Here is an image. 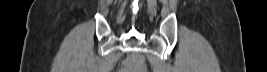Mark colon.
<instances>
[{
	"label": "colon",
	"mask_w": 267,
	"mask_h": 72,
	"mask_svg": "<svg viewBox=\"0 0 267 72\" xmlns=\"http://www.w3.org/2000/svg\"><path fill=\"white\" fill-rule=\"evenodd\" d=\"M130 65L129 64H126L121 70L120 72H130L131 69H130Z\"/></svg>",
	"instance_id": "obj_1"
}]
</instances>
